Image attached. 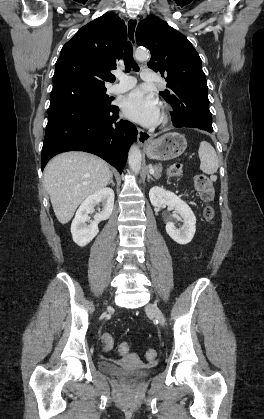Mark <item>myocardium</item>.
Masks as SVG:
<instances>
[{
	"label": "myocardium",
	"mask_w": 264,
	"mask_h": 419,
	"mask_svg": "<svg viewBox=\"0 0 264 419\" xmlns=\"http://www.w3.org/2000/svg\"><path fill=\"white\" fill-rule=\"evenodd\" d=\"M169 110L167 106H163V111H162V115L163 118H166L168 116Z\"/></svg>",
	"instance_id": "f54148a6"
}]
</instances>
